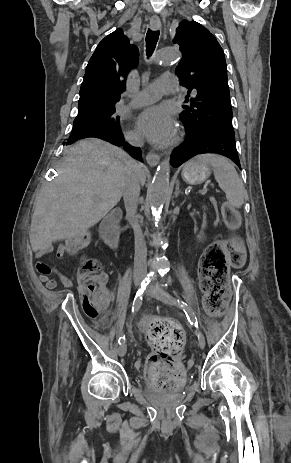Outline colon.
<instances>
[{
  "label": "colon",
  "instance_id": "1",
  "mask_svg": "<svg viewBox=\"0 0 291 463\" xmlns=\"http://www.w3.org/2000/svg\"><path fill=\"white\" fill-rule=\"evenodd\" d=\"M222 214L230 227L238 225L239 214L233 206L224 203ZM88 241L89 235L79 232L68 240L66 250L71 254H77L87 247ZM241 259L240 242L235 237L212 243L202 255L199 275L205 294L204 305L210 314L219 316L225 311L229 297L228 261L239 263ZM39 269L46 270V267L39 265ZM99 271L100 264L97 260L86 257L81 262L79 285L83 308L87 314L95 316L99 315L109 300ZM146 332L155 350L147 365L148 379L152 385L161 386L170 392L182 372L178 356L184 345L185 334L177 323L160 319L149 321L146 324Z\"/></svg>",
  "mask_w": 291,
  "mask_h": 463
}]
</instances>
